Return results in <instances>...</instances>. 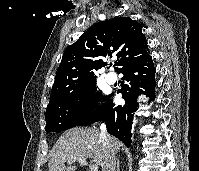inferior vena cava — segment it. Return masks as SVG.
Segmentation results:
<instances>
[{"mask_svg": "<svg viewBox=\"0 0 199 171\" xmlns=\"http://www.w3.org/2000/svg\"><path fill=\"white\" fill-rule=\"evenodd\" d=\"M100 130H101V136L103 138L107 139L108 134H107V130H106V125L104 123L101 124ZM115 166H116L115 150L113 148H110L108 150L105 164H104L102 171H115Z\"/></svg>", "mask_w": 199, "mask_h": 171, "instance_id": "1", "label": "inferior vena cava"}]
</instances>
